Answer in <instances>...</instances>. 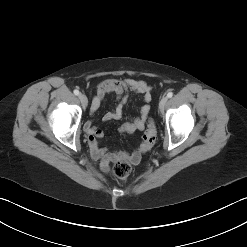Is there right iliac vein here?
I'll return each instance as SVG.
<instances>
[{
	"mask_svg": "<svg viewBox=\"0 0 247 247\" xmlns=\"http://www.w3.org/2000/svg\"><path fill=\"white\" fill-rule=\"evenodd\" d=\"M79 100H80L81 104H82L84 107L87 106V104H88V99H87L86 95H84V94H79Z\"/></svg>",
	"mask_w": 247,
	"mask_h": 247,
	"instance_id": "obj_1",
	"label": "right iliac vein"
}]
</instances>
